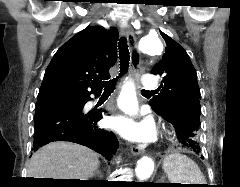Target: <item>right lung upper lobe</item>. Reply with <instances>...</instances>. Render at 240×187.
Returning a JSON list of instances; mask_svg holds the SVG:
<instances>
[{"instance_id": "1", "label": "right lung upper lobe", "mask_w": 240, "mask_h": 187, "mask_svg": "<svg viewBox=\"0 0 240 187\" xmlns=\"http://www.w3.org/2000/svg\"><path fill=\"white\" fill-rule=\"evenodd\" d=\"M118 31L87 27L55 53L41 84L37 106L63 99L83 98L102 90L117 60Z\"/></svg>"}]
</instances>
